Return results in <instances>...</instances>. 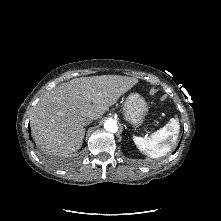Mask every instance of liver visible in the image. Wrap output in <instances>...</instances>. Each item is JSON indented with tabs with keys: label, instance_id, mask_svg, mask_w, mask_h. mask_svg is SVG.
I'll list each match as a JSON object with an SVG mask.
<instances>
[{
	"label": "liver",
	"instance_id": "obj_1",
	"mask_svg": "<svg viewBox=\"0 0 221 221\" xmlns=\"http://www.w3.org/2000/svg\"><path fill=\"white\" fill-rule=\"evenodd\" d=\"M138 79L121 75L81 77L46 92L33 107V138L45 152L67 156L83 142L82 119H99Z\"/></svg>",
	"mask_w": 221,
	"mask_h": 221
}]
</instances>
